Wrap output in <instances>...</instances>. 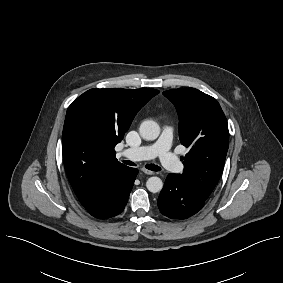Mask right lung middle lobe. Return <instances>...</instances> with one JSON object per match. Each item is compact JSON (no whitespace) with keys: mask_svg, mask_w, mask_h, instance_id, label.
<instances>
[{"mask_svg":"<svg viewBox=\"0 0 283 283\" xmlns=\"http://www.w3.org/2000/svg\"><path fill=\"white\" fill-rule=\"evenodd\" d=\"M79 117H80L83 124L87 125L89 123V120L87 119V117L84 114H79Z\"/></svg>","mask_w":283,"mask_h":283,"instance_id":"right-lung-middle-lobe-1","label":"right lung middle lobe"}]
</instances>
